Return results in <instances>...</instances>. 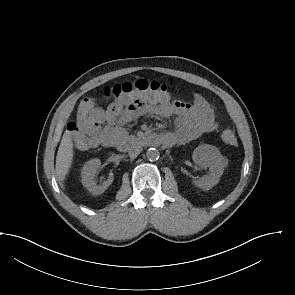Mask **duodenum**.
Returning a JSON list of instances; mask_svg holds the SVG:
<instances>
[{"mask_svg": "<svg viewBox=\"0 0 295 295\" xmlns=\"http://www.w3.org/2000/svg\"><path fill=\"white\" fill-rule=\"evenodd\" d=\"M114 145L119 146L123 149H128L136 145L147 147L168 145V142L161 135H144L142 137L134 139L124 136L120 140L115 142Z\"/></svg>", "mask_w": 295, "mask_h": 295, "instance_id": "duodenum-1", "label": "duodenum"}]
</instances>
